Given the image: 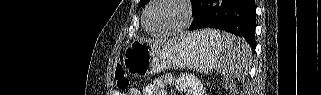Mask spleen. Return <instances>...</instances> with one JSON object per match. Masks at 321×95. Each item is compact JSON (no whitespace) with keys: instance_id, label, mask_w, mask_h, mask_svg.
<instances>
[{"instance_id":"3e777b00","label":"spleen","mask_w":321,"mask_h":95,"mask_svg":"<svg viewBox=\"0 0 321 95\" xmlns=\"http://www.w3.org/2000/svg\"><path fill=\"white\" fill-rule=\"evenodd\" d=\"M204 33L222 43L218 72L231 77L244 78L252 57L249 44L229 33H220L216 30H205Z\"/></svg>"}]
</instances>
